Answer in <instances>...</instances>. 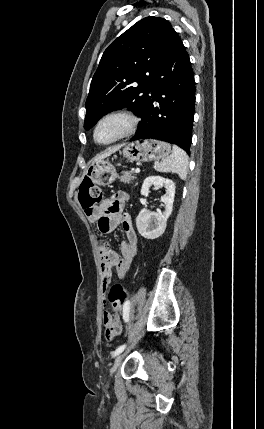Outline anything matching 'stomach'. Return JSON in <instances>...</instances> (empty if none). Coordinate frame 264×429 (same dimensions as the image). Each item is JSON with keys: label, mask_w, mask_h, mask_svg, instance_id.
<instances>
[{"label": "stomach", "mask_w": 264, "mask_h": 429, "mask_svg": "<svg viewBox=\"0 0 264 429\" xmlns=\"http://www.w3.org/2000/svg\"><path fill=\"white\" fill-rule=\"evenodd\" d=\"M171 152V146L163 141L146 139L124 145L123 156L130 161H159L166 158ZM86 177L95 184L107 185L112 183L117 173L115 167L108 160L92 162L86 170Z\"/></svg>", "instance_id": "obj_1"}]
</instances>
